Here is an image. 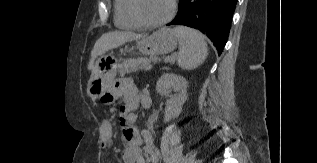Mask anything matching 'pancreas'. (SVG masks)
<instances>
[{"mask_svg":"<svg viewBox=\"0 0 317 163\" xmlns=\"http://www.w3.org/2000/svg\"><path fill=\"white\" fill-rule=\"evenodd\" d=\"M155 60V57L122 59L118 64L119 74L120 76H124L125 74L136 72L139 69L151 68V62Z\"/></svg>","mask_w":317,"mask_h":163,"instance_id":"1","label":"pancreas"}]
</instances>
